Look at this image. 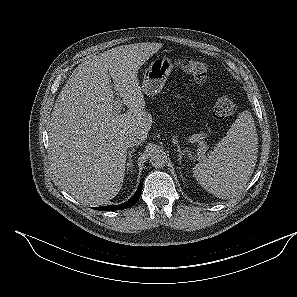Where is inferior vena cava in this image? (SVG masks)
<instances>
[{
  "instance_id": "obj_1",
  "label": "inferior vena cava",
  "mask_w": 297,
  "mask_h": 297,
  "mask_svg": "<svg viewBox=\"0 0 297 297\" xmlns=\"http://www.w3.org/2000/svg\"><path fill=\"white\" fill-rule=\"evenodd\" d=\"M143 137L139 134H130L125 137L124 143L126 147H135L143 142Z\"/></svg>"
}]
</instances>
